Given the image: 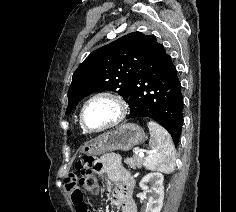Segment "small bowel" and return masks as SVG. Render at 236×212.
Returning <instances> with one entry per match:
<instances>
[{
	"instance_id": "obj_1",
	"label": "small bowel",
	"mask_w": 236,
	"mask_h": 212,
	"mask_svg": "<svg viewBox=\"0 0 236 212\" xmlns=\"http://www.w3.org/2000/svg\"><path fill=\"white\" fill-rule=\"evenodd\" d=\"M98 172L117 182V188L111 193V203L120 209V212H137L132 199L133 179L121 162L111 154L103 155L99 160ZM66 189L70 194L76 212H88L84 195L76 186V174L72 173L66 180Z\"/></svg>"
}]
</instances>
